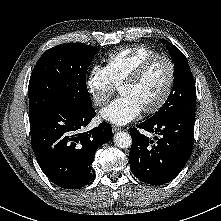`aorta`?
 Wrapping results in <instances>:
<instances>
[{"label":"aorta","instance_id":"aorta-1","mask_svg":"<svg viewBox=\"0 0 221 221\" xmlns=\"http://www.w3.org/2000/svg\"><path fill=\"white\" fill-rule=\"evenodd\" d=\"M114 143L117 147L125 149L131 146L132 139L129 133L118 132L114 135Z\"/></svg>","mask_w":221,"mask_h":221}]
</instances>
